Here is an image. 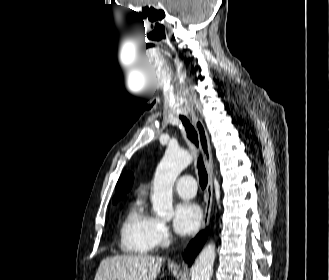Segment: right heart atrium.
I'll return each instance as SVG.
<instances>
[{"mask_svg":"<svg viewBox=\"0 0 329 280\" xmlns=\"http://www.w3.org/2000/svg\"><path fill=\"white\" fill-rule=\"evenodd\" d=\"M154 240H155L156 246H164L169 241L168 227L161 220H156V222H155Z\"/></svg>","mask_w":329,"mask_h":280,"instance_id":"right-heart-atrium-1","label":"right heart atrium"}]
</instances>
